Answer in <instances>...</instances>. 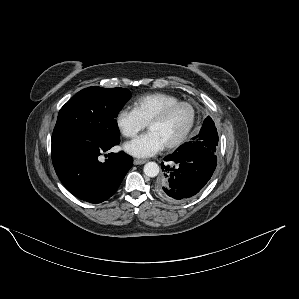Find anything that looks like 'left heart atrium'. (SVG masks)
Listing matches in <instances>:
<instances>
[{
  "instance_id": "left-heart-atrium-1",
  "label": "left heart atrium",
  "mask_w": 299,
  "mask_h": 299,
  "mask_svg": "<svg viewBox=\"0 0 299 299\" xmlns=\"http://www.w3.org/2000/svg\"><path fill=\"white\" fill-rule=\"evenodd\" d=\"M164 146L165 145L159 136L156 133L149 131L126 143L124 145V150L135 157H149L161 151Z\"/></svg>"
}]
</instances>
